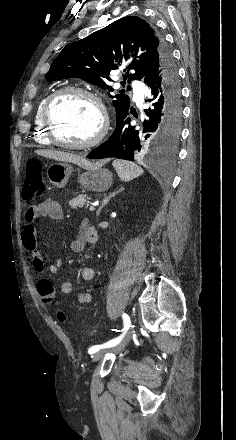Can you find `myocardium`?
Instances as JSON below:
<instances>
[{
    "label": "myocardium",
    "mask_w": 236,
    "mask_h": 440,
    "mask_svg": "<svg viewBox=\"0 0 236 440\" xmlns=\"http://www.w3.org/2000/svg\"><path fill=\"white\" fill-rule=\"evenodd\" d=\"M71 94L81 95V96H84V97L90 99L98 109V113H99L98 129H97L95 135L90 140H88L84 143H79V144L65 143V142L57 139L55 132L53 130L52 121H51L52 106L59 98L66 96V95H71ZM41 121H42V126L44 128V131H45L48 139L50 140V142L55 146L65 148V149H70V150H85V149H90V148L96 146L105 137V135L108 131V126H109L108 112H107L106 106H105L103 100L101 99V97H99L97 94H95L94 92H92L90 90H87V89L81 88V87H74V86H68V87L61 88V89L55 91L54 93H52L47 98V100L44 104L43 110H42Z\"/></svg>",
    "instance_id": "f54148a6"
}]
</instances>
